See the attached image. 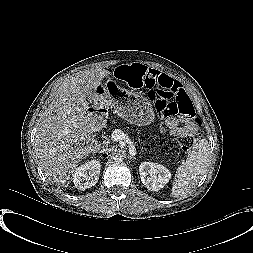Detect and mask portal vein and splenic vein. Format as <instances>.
Instances as JSON below:
<instances>
[{"instance_id": "1", "label": "portal vein and splenic vein", "mask_w": 253, "mask_h": 253, "mask_svg": "<svg viewBox=\"0 0 253 253\" xmlns=\"http://www.w3.org/2000/svg\"><path fill=\"white\" fill-rule=\"evenodd\" d=\"M115 133H117V134H114L113 138L122 139L123 133H121V131L118 130V131H115Z\"/></svg>"}]
</instances>
